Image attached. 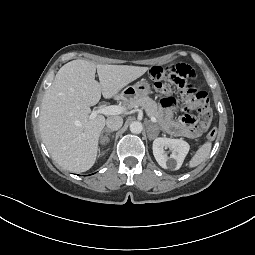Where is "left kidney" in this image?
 <instances>
[{
	"label": "left kidney",
	"mask_w": 255,
	"mask_h": 255,
	"mask_svg": "<svg viewBox=\"0 0 255 255\" xmlns=\"http://www.w3.org/2000/svg\"><path fill=\"white\" fill-rule=\"evenodd\" d=\"M171 151L170 156L165 153ZM190 149L189 144L182 139L156 138L153 141V155L157 163L164 169L178 170Z\"/></svg>",
	"instance_id": "1"
}]
</instances>
